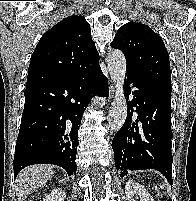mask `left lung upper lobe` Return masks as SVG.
<instances>
[{
	"instance_id": "left-lung-upper-lobe-1",
	"label": "left lung upper lobe",
	"mask_w": 196,
	"mask_h": 201,
	"mask_svg": "<svg viewBox=\"0 0 196 201\" xmlns=\"http://www.w3.org/2000/svg\"><path fill=\"white\" fill-rule=\"evenodd\" d=\"M110 45L124 53L126 72L171 91L167 49L160 36L150 27L139 22H128L117 30Z\"/></svg>"
}]
</instances>
